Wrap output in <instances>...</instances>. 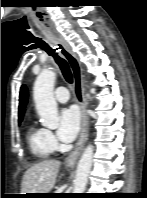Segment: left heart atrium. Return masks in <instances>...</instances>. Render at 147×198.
Masks as SVG:
<instances>
[{
    "label": "left heart atrium",
    "instance_id": "obj_1",
    "mask_svg": "<svg viewBox=\"0 0 147 198\" xmlns=\"http://www.w3.org/2000/svg\"><path fill=\"white\" fill-rule=\"evenodd\" d=\"M81 117L75 106L65 107L60 111L58 137L65 142L72 141L79 132Z\"/></svg>",
    "mask_w": 147,
    "mask_h": 198
}]
</instances>
